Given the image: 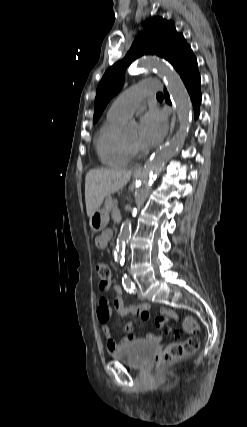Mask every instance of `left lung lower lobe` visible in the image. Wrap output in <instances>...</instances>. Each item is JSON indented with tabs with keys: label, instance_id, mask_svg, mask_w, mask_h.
Masks as SVG:
<instances>
[{
	"label": "left lung lower lobe",
	"instance_id": "0a47b994",
	"mask_svg": "<svg viewBox=\"0 0 247 427\" xmlns=\"http://www.w3.org/2000/svg\"><path fill=\"white\" fill-rule=\"evenodd\" d=\"M177 72L180 74L188 90L193 108L195 110L194 116L197 118L199 116V105L201 103L202 95L200 92L201 81L196 58H190L179 68ZM164 95L166 102L170 104L169 95L166 90L164 91Z\"/></svg>",
	"mask_w": 247,
	"mask_h": 427
}]
</instances>
